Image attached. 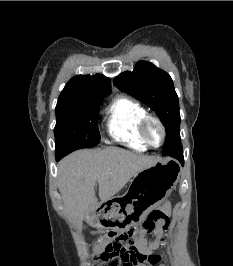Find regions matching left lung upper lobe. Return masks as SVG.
Masks as SVG:
<instances>
[{
	"label": "left lung upper lobe",
	"mask_w": 233,
	"mask_h": 266,
	"mask_svg": "<svg viewBox=\"0 0 233 266\" xmlns=\"http://www.w3.org/2000/svg\"><path fill=\"white\" fill-rule=\"evenodd\" d=\"M114 84L156 112L166 129L163 155L181 144L179 99L169 74L150 62L139 61L132 72L117 76Z\"/></svg>",
	"instance_id": "5c2ea615"
}]
</instances>
